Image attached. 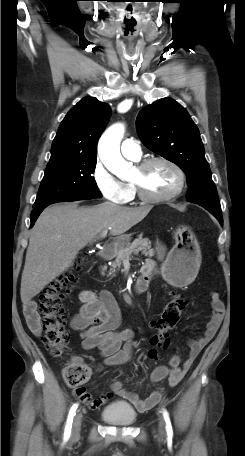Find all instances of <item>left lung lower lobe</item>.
<instances>
[{"mask_svg": "<svg viewBox=\"0 0 245 456\" xmlns=\"http://www.w3.org/2000/svg\"><path fill=\"white\" fill-rule=\"evenodd\" d=\"M220 222L221 225H223V219H222V216L221 214H213Z\"/></svg>", "mask_w": 245, "mask_h": 456, "instance_id": "0a47b994", "label": "left lung lower lobe"}]
</instances>
